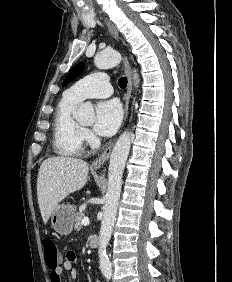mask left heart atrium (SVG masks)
<instances>
[{
    "label": "left heart atrium",
    "mask_w": 232,
    "mask_h": 282,
    "mask_svg": "<svg viewBox=\"0 0 232 282\" xmlns=\"http://www.w3.org/2000/svg\"><path fill=\"white\" fill-rule=\"evenodd\" d=\"M122 120L121 104L115 100H105L96 107L94 130L102 136L116 132Z\"/></svg>",
    "instance_id": "39dd6f15"
}]
</instances>
